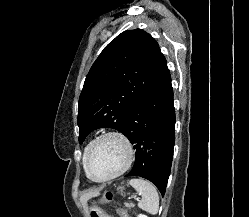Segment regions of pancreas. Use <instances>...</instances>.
<instances>
[{
    "label": "pancreas",
    "mask_w": 249,
    "mask_h": 217,
    "mask_svg": "<svg viewBox=\"0 0 249 217\" xmlns=\"http://www.w3.org/2000/svg\"><path fill=\"white\" fill-rule=\"evenodd\" d=\"M125 206L128 207V208H131V207H134V204H127V203H125Z\"/></svg>",
    "instance_id": "obj_1"
}]
</instances>
